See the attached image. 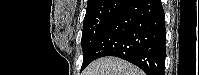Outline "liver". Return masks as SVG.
<instances>
[{
    "instance_id": "6515ba94",
    "label": "liver",
    "mask_w": 199,
    "mask_h": 75,
    "mask_svg": "<svg viewBox=\"0 0 199 75\" xmlns=\"http://www.w3.org/2000/svg\"><path fill=\"white\" fill-rule=\"evenodd\" d=\"M82 75H144V73L125 60L104 57L93 61Z\"/></svg>"
}]
</instances>
